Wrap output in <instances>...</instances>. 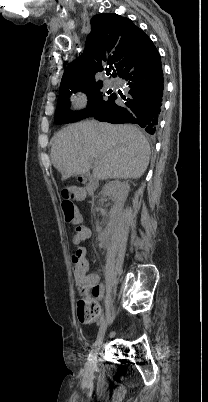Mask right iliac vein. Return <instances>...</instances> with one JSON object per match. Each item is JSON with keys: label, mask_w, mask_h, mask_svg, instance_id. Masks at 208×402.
<instances>
[{"label": "right iliac vein", "mask_w": 208, "mask_h": 402, "mask_svg": "<svg viewBox=\"0 0 208 402\" xmlns=\"http://www.w3.org/2000/svg\"><path fill=\"white\" fill-rule=\"evenodd\" d=\"M106 329H107V323L104 322L100 326V329H99V332H98V335H97V339H96V341L94 343L93 349H92V351H91V353L89 355L88 361L86 363L85 368H86V371L89 372V373L93 372V370L95 368V365H96V362H97V356H98V353H99V350H100V346L103 343Z\"/></svg>", "instance_id": "right-iliac-vein-1"}]
</instances>
